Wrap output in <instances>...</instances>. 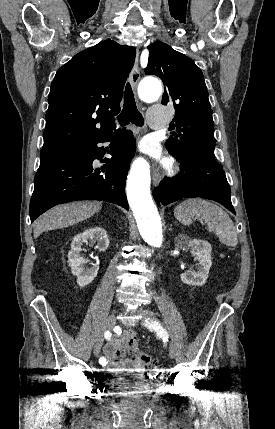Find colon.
I'll use <instances>...</instances> for the list:
<instances>
[{"label":"colon","instance_id":"5ec220e1","mask_svg":"<svg viewBox=\"0 0 275 429\" xmlns=\"http://www.w3.org/2000/svg\"><path fill=\"white\" fill-rule=\"evenodd\" d=\"M129 351L134 354V359L146 366L151 370H156L157 368V360L156 358L140 351L138 349V343L136 340L130 341L129 343Z\"/></svg>","mask_w":275,"mask_h":429}]
</instances>
